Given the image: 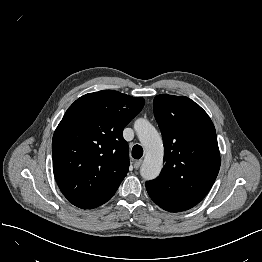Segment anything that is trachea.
<instances>
[{"instance_id": "obj_1", "label": "trachea", "mask_w": 262, "mask_h": 262, "mask_svg": "<svg viewBox=\"0 0 262 262\" xmlns=\"http://www.w3.org/2000/svg\"><path fill=\"white\" fill-rule=\"evenodd\" d=\"M143 156V148L140 145H135L132 148V157L135 159H140Z\"/></svg>"}]
</instances>
